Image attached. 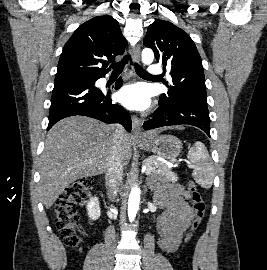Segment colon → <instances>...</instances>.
I'll return each mask as SVG.
<instances>
[{
	"mask_svg": "<svg viewBox=\"0 0 267 270\" xmlns=\"http://www.w3.org/2000/svg\"><path fill=\"white\" fill-rule=\"evenodd\" d=\"M91 188L89 178L78 179L65 188L56 201L55 224L61 239L69 247L76 248L80 244L81 221L77 205L87 198ZM188 190L193 201L194 217L186 236L187 242L192 239L206 212V204L193 181L188 183Z\"/></svg>",
	"mask_w": 267,
	"mask_h": 270,
	"instance_id": "colon-1",
	"label": "colon"
}]
</instances>
